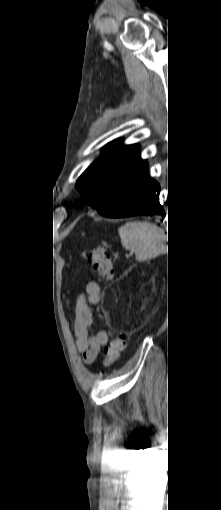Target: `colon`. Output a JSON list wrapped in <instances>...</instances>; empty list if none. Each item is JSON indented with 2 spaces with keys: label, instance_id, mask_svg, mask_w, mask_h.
<instances>
[{
  "label": "colon",
  "instance_id": "1",
  "mask_svg": "<svg viewBox=\"0 0 221 510\" xmlns=\"http://www.w3.org/2000/svg\"><path fill=\"white\" fill-rule=\"evenodd\" d=\"M84 258L91 265L93 271L100 277H110L112 275V259L108 252L103 248H95L84 253ZM127 344V335L120 334L113 338L105 350L103 358L104 366H109L118 360L121 353L125 350Z\"/></svg>",
  "mask_w": 221,
  "mask_h": 510
}]
</instances>
